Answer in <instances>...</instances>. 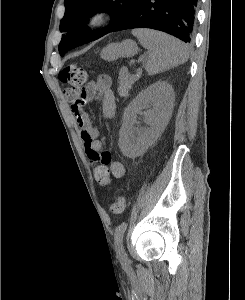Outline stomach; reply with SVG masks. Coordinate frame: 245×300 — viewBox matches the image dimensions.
<instances>
[{
  "label": "stomach",
  "mask_w": 245,
  "mask_h": 300,
  "mask_svg": "<svg viewBox=\"0 0 245 300\" xmlns=\"http://www.w3.org/2000/svg\"><path fill=\"white\" fill-rule=\"evenodd\" d=\"M138 47L135 41L126 39L121 43H110L100 53L104 60L114 61L120 57H132L137 53Z\"/></svg>",
  "instance_id": "stomach-1"
}]
</instances>
